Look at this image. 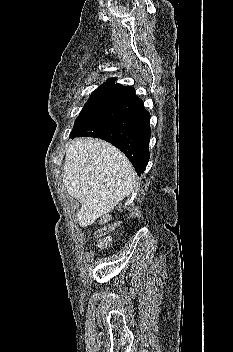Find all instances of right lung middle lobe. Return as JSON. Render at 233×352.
<instances>
[{"mask_svg": "<svg viewBox=\"0 0 233 352\" xmlns=\"http://www.w3.org/2000/svg\"><path fill=\"white\" fill-rule=\"evenodd\" d=\"M134 95L135 90L132 88L98 87L91 94L89 100L77 117L71 133L76 132L109 108Z\"/></svg>", "mask_w": 233, "mask_h": 352, "instance_id": "obj_1", "label": "right lung middle lobe"}]
</instances>
